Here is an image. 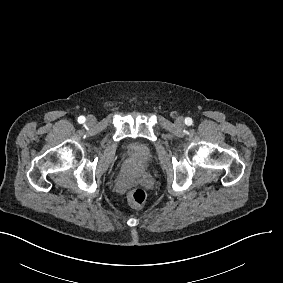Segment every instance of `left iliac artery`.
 Returning a JSON list of instances; mask_svg holds the SVG:
<instances>
[{"label":"left iliac artery","mask_w":283,"mask_h":283,"mask_svg":"<svg viewBox=\"0 0 283 283\" xmlns=\"http://www.w3.org/2000/svg\"><path fill=\"white\" fill-rule=\"evenodd\" d=\"M192 122H193L192 119L189 118V117L185 119V124L188 125V126H190L192 124Z\"/></svg>","instance_id":"left-iliac-artery-1"}]
</instances>
